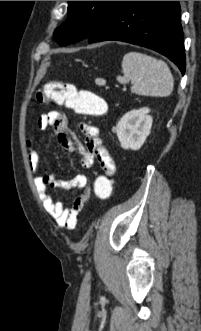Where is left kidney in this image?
Wrapping results in <instances>:
<instances>
[{
    "mask_svg": "<svg viewBox=\"0 0 201 331\" xmlns=\"http://www.w3.org/2000/svg\"><path fill=\"white\" fill-rule=\"evenodd\" d=\"M149 108H141L126 113L117 123L116 133L121 147L138 150L150 134L153 119Z\"/></svg>",
    "mask_w": 201,
    "mask_h": 331,
    "instance_id": "left-kidney-1",
    "label": "left kidney"
}]
</instances>
